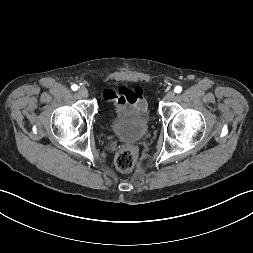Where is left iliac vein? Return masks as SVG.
Segmentation results:
<instances>
[{"label": "left iliac vein", "instance_id": "4c4485c4", "mask_svg": "<svg viewBox=\"0 0 253 253\" xmlns=\"http://www.w3.org/2000/svg\"><path fill=\"white\" fill-rule=\"evenodd\" d=\"M174 97H175L174 91H169V92L165 95V100L171 101V100L174 99Z\"/></svg>", "mask_w": 253, "mask_h": 253}]
</instances>
